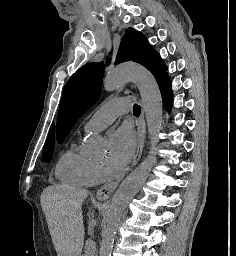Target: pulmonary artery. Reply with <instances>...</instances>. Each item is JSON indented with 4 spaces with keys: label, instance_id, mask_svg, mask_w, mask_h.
<instances>
[{
    "label": "pulmonary artery",
    "instance_id": "pulmonary-artery-1",
    "mask_svg": "<svg viewBox=\"0 0 236 256\" xmlns=\"http://www.w3.org/2000/svg\"><path fill=\"white\" fill-rule=\"evenodd\" d=\"M120 101H106V106L98 109L83 125L85 132H99L109 126L119 115L128 114L129 102L127 96H120Z\"/></svg>",
    "mask_w": 236,
    "mask_h": 256
}]
</instances>
